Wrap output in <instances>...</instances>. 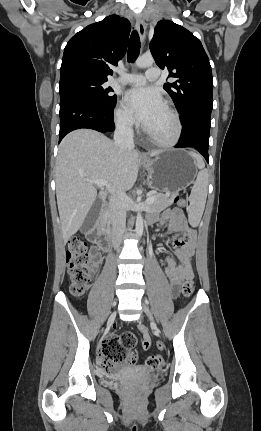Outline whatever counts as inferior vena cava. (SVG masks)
Returning a JSON list of instances; mask_svg holds the SVG:
<instances>
[{
  "mask_svg": "<svg viewBox=\"0 0 261 431\" xmlns=\"http://www.w3.org/2000/svg\"><path fill=\"white\" fill-rule=\"evenodd\" d=\"M132 125L133 122L131 120L117 125L114 132V141L120 149H134ZM126 198L124 191H118L109 201V214L112 223V243L116 249L120 246L125 233Z\"/></svg>",
  "mask_w": 261,
  "mask_h": 431,
  "instance_id": "1",
  "label": "inferior vena cava"
}]
</instances>
